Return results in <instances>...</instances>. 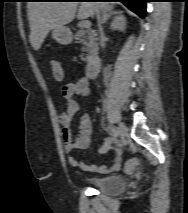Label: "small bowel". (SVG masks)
I'll return each instance as SVG.
<instances>
[{"mask_svg": "<svg viewBox=\"0 0 188 213\" xmlns=\"http://www.w3.org/2000/svg\"><path fill=\"white\" fill-rule=\"evenodd\" d=\"M93 94L89 87L88 80L85 77L79 78L73 83L65 84L62 87V96L66 100V109L59 113V121L62 125V141L66 153H72L76 150H84L88 148L89 136L92 130L91 116L84 113L79 119V131L74 138L71 131V123L74 115L79 110V104L76 101V96L90 97ZM111 138L106 139L104 144L99 148V153L107 154L112 151ZM122 154L119 150H115L112 154L109 164L97 166L95 164H86L79 161L75 156L69 155L68 162L71 166L80 168L85 171L109 173L119 170L122 165Z\"/></svg>", "mask_w": 188, "mask_h": 213, "instance_id": "1", "label": "small bowel"}]
</instances>
